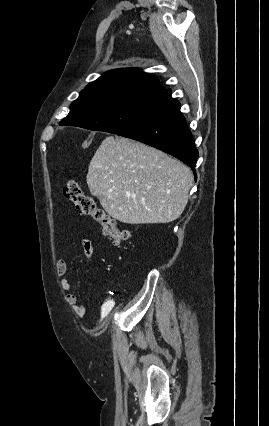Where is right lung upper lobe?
<instances>
[{
  "label": "right lung upper lobe",
  "mask_w": 269,
  "mask_h": 426,
  "mask_svg": "<svg viewBox=\"0 0 269 426\" xmlns=\"http://www.w3.org/2000/svg\"><path fill=\"white\" fill-rule=\"evenodd\" d=\"M117 91H145L161 92L166 91L160 82L141 71L138 68L116 69L104 73L96 81L88 84L81 91V95H89L98 92H117Z\"/></svg>",
  "instance_id": "1"
}]
</instances>
